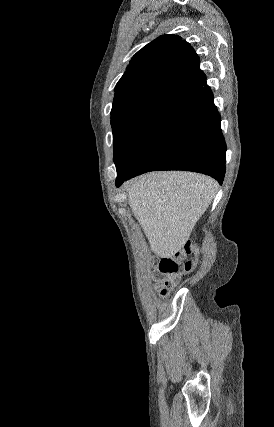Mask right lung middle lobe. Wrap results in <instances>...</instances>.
I'll use <instances>...</instances> for the list:
<instances>
[{
    "instance_id": "1",
    "label": "right lung middle lobe",
    "mask_w": 274,
    "mask_h": 427,
    "mask_svg": "<svg viewBox=\"0 0 274 427\" xmlns=\"http://www.w3.org/2000/svg\"><path fill=\"white\" fill-rule=\"evenodd\" d=\"M175 103L153 95L123 104L111 111L114 162L129 166Z\"/></svg>"
}]
</instances>
